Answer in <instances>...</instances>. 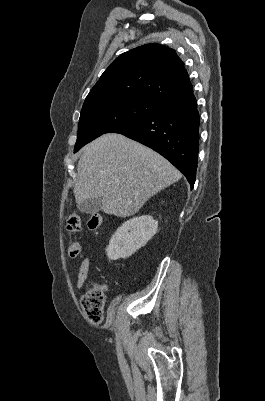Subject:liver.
Listing matches in <instances>:
<instances>
[{
  "instance_id": "liver-1",
  "label": "liver",
  "mask_w": 265,
  "mask_h": 401,
  "mask_svg": "<svg viewBox=\"0 0 265 401\" xmlns=\"http://www.w3.org/2000/svg\"><path fill=\"white\" fill-rule=\"evenodd\" d=\"M74 186L76 203L102 196L107 215H136L148 198L177 182L182 174L158 152L108 132L83 146Z\"/></svg>"
}]
</instances>
